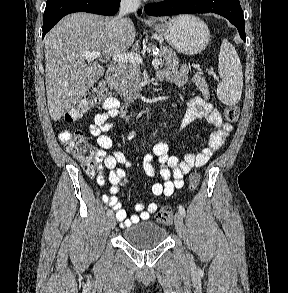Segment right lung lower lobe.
Listing matches in <instances>:
<instances>
[{
    "instance_id": "obj_1",
    "label": "right lung lower lobe",
    "mask_w": 288,
    "mask_h": 293,
    "mask_svg": "<svg viewBox=\"0 0 288 293\" xmlns=\"http://www.w3.org/2000/svg\"><path fill=\"white\" fill-rule=\"evenodd\" d=\"M120 0H56L46 3L43 22V37L65 15L74 12H89L112 16L117 13ZM141 10L138 14H141Z\"/></svg>"
}]
</instances>
